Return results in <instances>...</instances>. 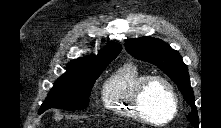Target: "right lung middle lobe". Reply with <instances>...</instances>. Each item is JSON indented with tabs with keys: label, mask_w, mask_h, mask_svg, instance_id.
Wrapping results in <instances>:
<instances>
[{
	"label": "right lung middle lobe",
	"mask_w": 221,
	"mask_h": 128,
	"mask_svg": "<svg viewBox=\"0 0 221 128\" xmlns=\"http://www.w3.org/2000/svg\"><path fill=\"white\" fill-rule=\"evenodd\" d=\"M117 57L111 56L102 63L87 65L76 71L65 73L54 84L46 100L39 109V114L50 108L64 110L85 109L95 80L107 65Z\"/></svg>",
	"instance_id": "1"
}]
</instances>
